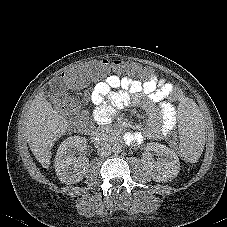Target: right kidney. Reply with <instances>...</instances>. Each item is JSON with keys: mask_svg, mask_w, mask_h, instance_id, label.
<instances>
[{"mask_svg": "<svg viewBox=\"0 0 227 227\" xmlns=\"http://www.w3.org/2000/svg\"><path fill=\"white\" fill-rule=\"evenodd\" d=\"M86 142L84 137L72 136L60 144L55 157V171L62 183L75 184L85 176L89 160L78 159L75 153L82 151Z\"/></svg>", "mask_w": 227, "mask_h": 227, "instance_id": "obj_1", "label": "right kidney"}]
</instances>
